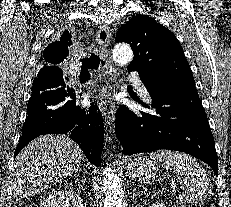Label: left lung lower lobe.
<instances>
[{"label": "left lung lower lobe", "mask_w": 231, "mask_h": 207, "mask_svg": "<svg viewBox=\"0 0 231 207\" xmlns=\"http://www.w3.org/2000/svg\"><path fill=\"white\" fill-rule=\"evenodd\" d=\"M140 77L152 98L155 113H134L125 105L117 110L115 134L123 154L159 149L182 151L207 163L218 175L213 135L196 89L165 94L159 77Z\"/></svg>", "instance_id": "left-lung-lower-lobe-1"}]
</instances>
